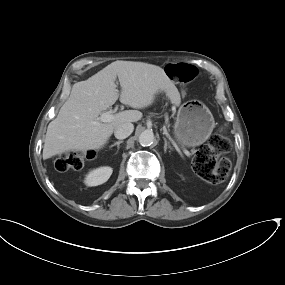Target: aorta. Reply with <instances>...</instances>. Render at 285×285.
Here are the masks:
<instances>
[{
    "label": "aorta",
    "mask_w": 285,
    "mask_h": 285,
    "mask_svg": "<svg viewBox=\"0 0 285 285\" xmlns=\"http://www.w3.org/2000/svg\"><path fill=\"white\" fill-rule=\"evenodd\" d=\"M138 141L142 146H151L155 142L154 133L152 131L145 130L139 135Z\"/></svg>",
    "instance_id": "aorta-1"
}]
</instances>
